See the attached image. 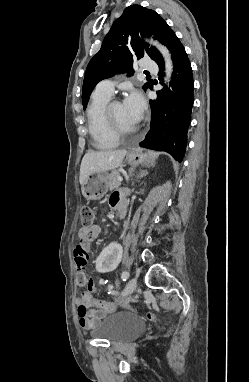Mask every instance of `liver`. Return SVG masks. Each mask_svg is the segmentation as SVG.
I'll use <instances>...</instances> for the list:
<instances>
[{
  "label": "liver",
  "instance_id": "6515ba94",
  "mask_svg": "<svg viewBox=\"0 0 249 382\" xmlns=\"http://www.w3.org/2000/svg\"><path fill=\"white\" fill-rule=\"evenodd\" d=\"M126 150L88 151L81 162L79 182L83 185L88 175L98 171L115 169L122 164Z\"/></svg>",
  "mask_w": 249,
  "mask_h": 382
}]
</instances>
